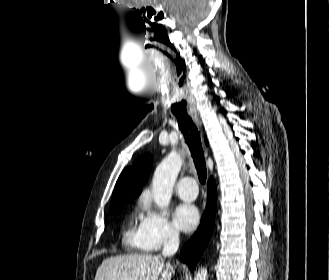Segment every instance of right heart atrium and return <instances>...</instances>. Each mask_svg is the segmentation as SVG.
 <instances>
[{"label":"right heart atrium","mask_w":329,"mask_h":280,"mask_svg":"<svg viewBox=\"0 0 329 280\" xmlns=\"http://www.w3.org/2000/svg\"><path fill=\"white\" fill-rule=\"evenodd\" d=\"M144 206L147 209L144 218V231L150 250H159L166 245L178 240L179 232L176 226L169 221L165 214L151 207L145 199Z\"/></svg>","instance_id":"obj_1"}]
</instances>
